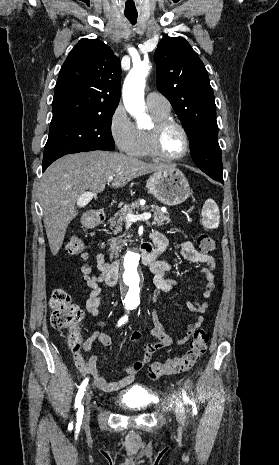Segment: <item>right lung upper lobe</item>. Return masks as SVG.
I'll return each mask as SVG.
<instances>
[{
    "mask_svg": "<svg viewBox=\"0 0 279 465\" xmlns=\"http://www.w3.org/2000/svg\"><path fill=\"white\" fill-rule=\"evenodd\" d=\"M119 58L98 39H82L61 67L51 124L115 110L120 99Z\"/></svg>",
    "mask_w": 279,
    "mask_h": 465,
    "instance_id": "right-lung-upper-lobe-1",
    "label": "right lung upper lobe"
}]
</instances>
